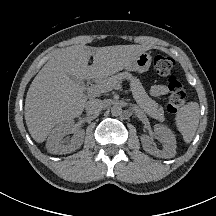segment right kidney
Here are the masks:
<instances>
[{
    "label": "right kidney",
    "mask_w": 216,
    "mask_h": 216,
    "mask_svg": "<svg viewBox=\"0 0 216 216\" xmlns=\"http://www.w3.org/2000/svg\"><path fill=\"white\" fill-rule=\"evenodd\" d=\"M74 133L71 143L64 145L62 139L66 134ZM85 131L76 129L73 120H66L58 124L47 139V151L52 154H68L79 149L83 143Z\"/></svg>",
    "instance_id": "ca27d5eb"
}]
</instances>
